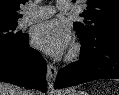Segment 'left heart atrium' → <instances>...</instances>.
Listing matches in <instances>:
<instances>
[{
	"label": "left heart atrium",
	"instance_id": "39dd6f15",
	"mask_svg": "<svg viewBox=\"0 0 119 95\" xmlns=\"http://www.w3.org/2000/svg\"><path fill=\"white\" fill-rule=\"evenodd\" d=\"M72 41L69 27L57 20H50L36 26L32 33L33 45L52 56L62 55Z\"/></svg>",
	"mask_w": 119,
	"mask_h": 95
}]
</instances>
